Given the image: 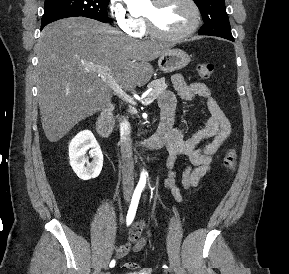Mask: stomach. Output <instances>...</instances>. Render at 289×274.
I'll return each instance as SVG.
<instances>
[{
	"mask_svg": "<svg viewBox=\"0 0 289 274\" xmlns=\"http://www.w3.org/2000/svg\"><path fill=\"white\" fill-rule=\"evenodd\" d=\"M190 62L188 54L180 49H169L158 59V67L163 72H172L184 68Z\"/></svg>",
	"mask_w": 289,
	"mask_h": 274,
	"instance_id": "stomach-1",
	"label": "stomach"
}]
</instances>
